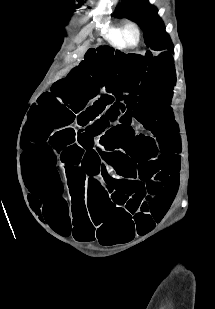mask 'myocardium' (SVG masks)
<instances>
[{
    "label": "myocardium",
    "mask_w": 215,
    "mask_h": 309,
    "mask_svg": "<svg viewBox=\"0 0 215 309\" xmlns=\"http://www.w3.org/2000/svg\"><path fill=\"white\" fill-rule=\"evenodd\" d=\"M119 29V41L125 48H135L140 42V30L133 22H125Z\"/></svg>",
    "instance_id": "obj_1"
}]
</instances>
